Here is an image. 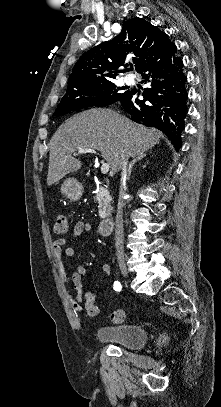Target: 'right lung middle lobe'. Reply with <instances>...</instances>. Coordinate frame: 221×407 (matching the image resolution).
Listing matches in <instances>:
<instances>
[{
    "label": "right lung middle lobe",
    "mask_w": 221,
    "mask_h": 407,
    "mask_svg": "<svg viewBox=\"0 0 221 407\" xmlns=\"http://www.w3.org/2000/svg\"><path fill=\"white\" fill-rule=\"evenodd\" d=\"M117 88L113 82H106L89 88L67 92L58 105L54 116L92 106H105L117 102L128 93ZM101 96V98H99Z\"/></svg>",
    "instance_id": "obj_1"
}]
</instances>
